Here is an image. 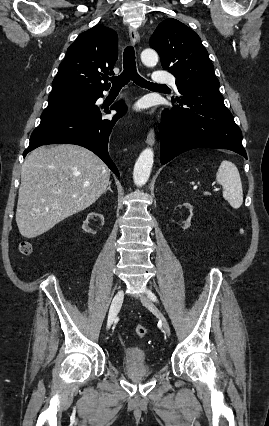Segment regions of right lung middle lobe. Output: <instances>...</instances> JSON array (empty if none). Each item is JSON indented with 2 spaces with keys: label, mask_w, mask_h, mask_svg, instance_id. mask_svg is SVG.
<instances>
[{
  "label": "right lung middle lobe",
  "mask_w": 269,
  "mask_h": 426,
  "mask_svg": "<svg viewBox=\"0 0 269 426\" xmlns=\"http://www.w3.org/2000/svg\"><path fill=\"white\" fill-rule=\"evenodd\" d=\"M96 97V93L82 91H58L51 92L47 108L41 115V120L77 111L86 107Z\"/></svg>",
  "instance_id": "1"
}]
</instances>
